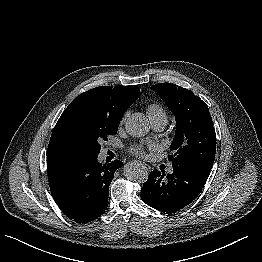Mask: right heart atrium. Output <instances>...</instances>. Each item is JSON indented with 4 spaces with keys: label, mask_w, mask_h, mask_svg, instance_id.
<instances>
[{
    "label": "right heart atrium",
    "mask_w": 262,
    "mask_h": 262,
    "mask_svg": "<svg viewBox=\"0 0 262 262\" xmlns=\"http://www.w3.org/2000/svg\"><path fill=\"white\" fill-rule=\"evenodd\" d=\"M129 114H130L129 111H126V112L124 113V115H123V117H122V119H121V124H123V123L126 121V119L128 118Z\"/></svg>",
    "instance_id": "1"
}]
</instances>
